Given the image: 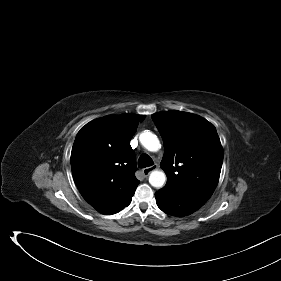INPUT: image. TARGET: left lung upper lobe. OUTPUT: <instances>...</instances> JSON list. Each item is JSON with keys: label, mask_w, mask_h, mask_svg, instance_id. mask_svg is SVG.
Here are the masks:
<instances>
[{"label": "left lung upper lobe", "mask_w": 281, "mask_h": 281, "mask_svg": "<svg viewBox=\"0 0 281 281\" xmlns=\"http://www.w3.org/2000/svg\"><path fill=\"white\" fill-rule=\"evenodd\" d=\"M164 142L161 168L166 186L191 189L207 198L221 172L223 148L217 131L204 118L177 110L152 115Z\"/></svg>", "instance_id": "1"}]
</instances>
